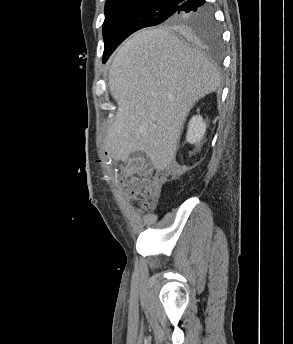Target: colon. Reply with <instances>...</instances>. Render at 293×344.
Returning a JSON list of instances; mask_svg holds the SVG:
<instances>
[{
	"label": "colon",
	"mask_w": 293,
	"mask_h": 344,
	"mask_svg": "<svg viewBox=\"0 0 293 344\" xmlns=\"http://www.w3.org/2000/svg\"><path fill=\"white\" fill-rule=\"evenodd\" d=\"M129 191L140 200L144 209H148L156 196L155 181L151 177L134 178L130 183Z\"/></svg>",
	"instance_id": "obj_1"
}]
</instances>
